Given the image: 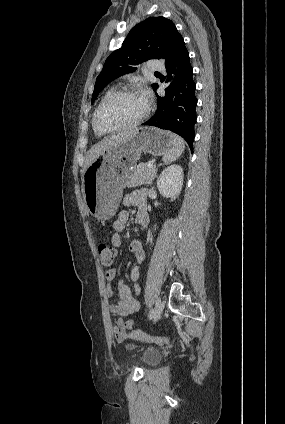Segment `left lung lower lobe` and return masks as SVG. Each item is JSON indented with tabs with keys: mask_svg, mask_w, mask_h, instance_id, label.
<instances>
[{
	"mask_svg": "<svg viewBox=\"0 0 285 424\" xmlns=\"http://www.w3.org/2000/svg\"><path fill=\"white\" fill-rule=\"evenodd\" d=\"M165 66L170 76L166 81L172 80V82L166 88L164 97L156 94L158 99L157 111L153 117L142 125L155 126L177 133L186 140L190 149L193 150L197 106L196 84L193 80L189 53L182 36L176 41ZM171 74L174 76L172 77ZM157 88L158 86L154 91Z\"/></svg>",
	"mask_w": 285,
	"mask_h": 424,
	"instance_id": "left-lung-lower-lobe-1",
	"label": "left lung lower lobe"
}]
</instances>
